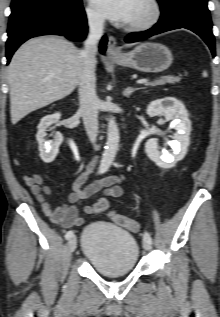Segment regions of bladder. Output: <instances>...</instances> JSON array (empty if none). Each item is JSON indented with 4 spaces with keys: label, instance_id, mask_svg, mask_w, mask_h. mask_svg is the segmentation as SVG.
Here are the masks:
<instances>
[{
    "label": "bladder",
    "instance_id": "obj_1",
    "mask_svg": "<svg viewBox=\"0 0 220 317\" xmlns=\"http://www.w3.org/2000/svg\"><path fill=\"white\" fill-rule=\"evenodd\" d=\"M82 256L98 273L107 276L132 273L140 250L128 231L108 223H90L82 232Z\"/></svg>",
    "mask_w": 220,
    "mask_h": 317
}]
</instances>
